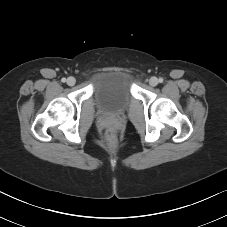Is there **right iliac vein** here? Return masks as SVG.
<instances>
[{
	"label": "right iliac vein",
	"instance_id": "obj_1",
	"mask_svg": "<svg viewBox=\"0 0 227 227\" xmlns=\"http://www.w3.org/2000/svg\"><path fill=\"white\" fill-rule=\"evenodd\" d=\"M75 83H76V79H75L74 77H69V78L67 79V84H68L69 86H74Z\"/></svg>",
	"mask_w": 227,
	"mask_h": 227
}]
</instances>
